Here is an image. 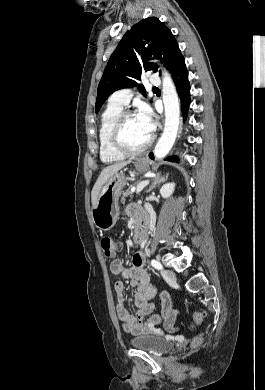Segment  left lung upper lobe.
Here are the masks:
<instances>
[{
  "label": "left lung upper lobe",
  "instance_id": "obj_1",
  "mask_svg": "<svg viewBox=\"0 0 265 390\" xmlns=\"http://www.w3.org/2000/svg\"><path fill=\"white\" fill-rule=\"evenodd\" d=\"M152 54L160 58L168 70L181 54L171 30L156 17L143 19L133 25L112 53L98 85L96 112L114 91L136 86L135 80H140L143 71H157L158 66L144 58ZM140 55L142 64L138 61ZM138 88L145 93L142 85Z\"/></svg>",
  "mask_w": 265,
  "mask_h": 390
}]
</instances>
